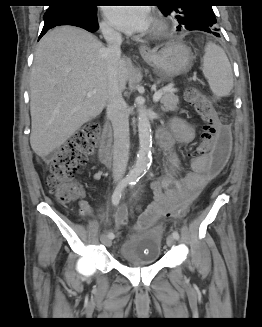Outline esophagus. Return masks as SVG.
<instances>
[{"instance_id": "esophagus-1", "label": "esophagus", "mask_w": 262, "mask_h": 327, "mask_svg": "<svg viewBox=\"0 0 262 327\" xmlns=\"http://www.w3.org/2000/svg\"><path fill=\"white\" fill-rule=\"evenodd\" d=\"M139 51L141 56H151L153 54L152 50L150 49L149 46L143 44L139 47Z\"/></svg>"}]
</instances>
